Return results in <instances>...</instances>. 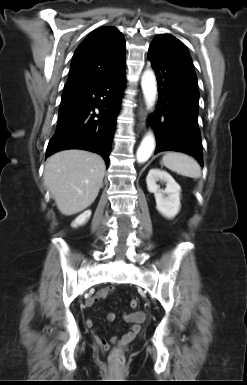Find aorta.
Listing matches in <instances>:
<instances>
[{"mask_svg":"<svg viewBox=\"0 0 247 385\" xmlns=\"http://www.w3.org/2000/svg\"><path fill=\"white\" fill-rule=\"evenodd\" d=\"M141 87L146 102V106L149 110H152L156 97H157V82L155 73L151 70H145L141 78ZM155 149V137L151 131H149L141 141V144L137 150L136 157L139 163L146 162L152 155Z\"/></svg>","mask_w":247,"mask_h":385,"instance_id":"aorta-1","label":"aorta"}]
</instances>
